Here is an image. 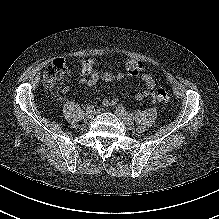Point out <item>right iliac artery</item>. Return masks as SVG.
Returning a JSON list of instances; mask_svg holds the SVG:
<instances>
[{
    "label": "right iliac artery",
    "mask_w": 219,
    "mask_h": 219,
    "mask_svg": "<svg viewBox=\"0 0 219 219\" xmlns=\"http://www.w3.org/2000/svg\"><path fill=\"white\" fill-rule=\"evenodd\" d=\"M95 110L94 106L93 105H88L86 107V112H93Z\"/></svg>",
    "instance_id": "82829eb1"
}]
</instances>
